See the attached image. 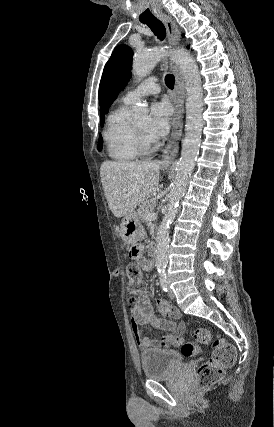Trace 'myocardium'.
<instances>
[{"label": "myocardium", "instance_id": "1", "mask_svg": "<svg viewBox=\"0 0 274 427\" xmlns=\"http://www.w3.org/2000/svg\"><path fill=\"white\" fill-rule=\"evenodd\" d=\"M133 142L139 155H148L156 151L159 143L148 140L139 130L136 124H133Z\"/></svg>", "mask_w": 274, "mask_h": 427}]
</instances>
